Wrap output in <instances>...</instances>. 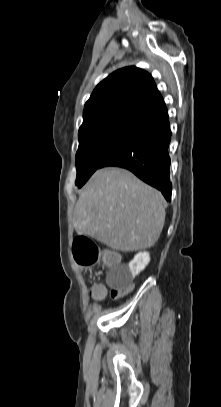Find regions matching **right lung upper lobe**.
<instances>
[{
  "instance_id": "cb5924a9",
  "label": "right lung upper lobe",
  "mask_w": 221,
  "mask_h": 407,
  "mask_svg": "<svg viewBox=\"0 0 221 407\" xmlns=\"http://www.w3.org/2000/svg\"><path fill=\"white\" fill-rule=\"evenodd\" d=\"M166 108L150 74L137 67L115 71L100 82L86 102L79 138L100 128L140 125Z\"/></svg>"
}]
</instances>
